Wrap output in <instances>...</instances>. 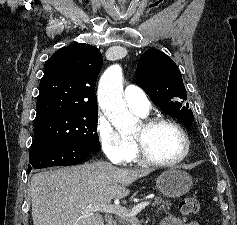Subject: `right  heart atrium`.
<instances>
[{"instance_id":"d8ad5b80","label":"right heart atrium","mask_w":237,"mask_h":225,"mask_svg":"<svg viewBox=\"0 0 237 225\" xmlns=\"http://www.w3.org/2000/svg\"><path fill=\"white\" fill-rule=\"evenodd\" d=\"M96 135L103 153L112 163L121 165L132 159L134 145L128 138L120 135L104 116L97 120Z\"/></svg>"}]
</instances>
